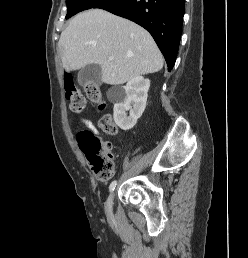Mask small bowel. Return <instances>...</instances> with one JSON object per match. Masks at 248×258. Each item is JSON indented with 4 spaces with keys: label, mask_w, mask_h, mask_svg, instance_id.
I'll list each match as a JSON object with an SVG mask.
<instances>
[{
    "label": "small bowel",
    "mask_w": 248,
    "mask_h": 258,
    "mask_svg": "<svg viewBox=\"0 0 248 258\" xmlns=\"http://www.w3.org/2000/svg\"><path fill=\"white\" fill-rule=\"evenodd\" d=\"M84 125H85L89 130L96 132V128H95L94 124H93L91 121H89V120L84 121Z\"/></svg>",
    "instance_id": "c3829d8e"
}]
</instances>
